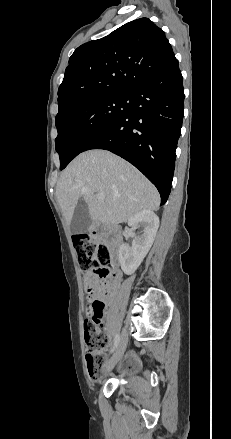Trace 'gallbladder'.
<instances>
[{"label":"gallbladder","mask_w":231,"mask_h":439,"mask_svg":"<svg viewBox=\"0 0 231 439\" xmlns=\"http://www.w3.org/2000/svg\"><path fill=\"white\" fill-rule=\"evenodd\" d=\"M91 224V217L87 203L83 198L76 205L72 220L71 231L75 234L83 233L88 230Z\"/></svg>","instance_id":"1"}]
</instances>
